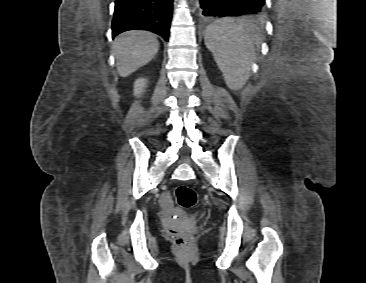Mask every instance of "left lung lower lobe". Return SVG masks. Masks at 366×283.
<instances>
[{"label":"left lung lower lobe","instance_id":"1","mask_svg":"<svg viewBox=\"0 0 366 283\" xmlns=\"http://www.w3.org/2000/svg\"><path fill=\"white\" fill-rule=\"evenodd\" d=\"M200 4L205 17L241 16L264 12L265 0H200Z\"/></svg>","mask_w":366,"mask_h":283}]
</instances>
